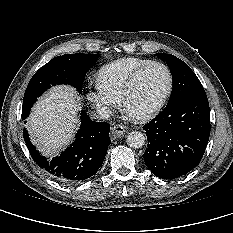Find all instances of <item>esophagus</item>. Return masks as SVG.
Listing matches in <instances>:
<instances>
[{
    "label": "esophagus",
    "mask_w": 233,
    "mask_h": 233,
    "mask_svg": "<svg viewBox=\"0 0 233 233\" xmlns=\"http://www.w3.org/2000/svg\"><path fill=\"white\" fill-rule=\"evenodd\" d=\"M112 134L120 136L127 131V127L122 125H114L111 127Z\"/></svg>",
    "instance_id": "obj_1"
}]
</instances>
